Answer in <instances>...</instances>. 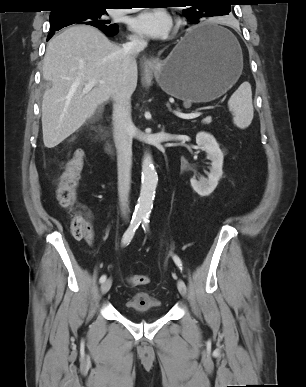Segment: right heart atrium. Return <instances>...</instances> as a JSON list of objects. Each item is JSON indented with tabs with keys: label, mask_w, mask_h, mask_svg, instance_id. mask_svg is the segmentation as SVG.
<instances>
[{
	"label": "right heart atrium",
	"mask_w": 306,
	"mask_h": 387,
	"mask_svg": "<svg viewBox=\"0 0 306 387\" xmlns=\"http://www.w3.org/2000/svg\"><path fill=\"white\" fill-rule=\"evenodd\" d=\"M130 39L136 41V40H138L139 38H138L137 36H135V35H132V36L130 37Z\"/></svg>",
	"instance_id": "obj_1"
}]
</instances>
